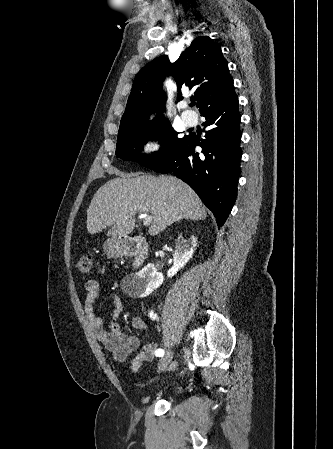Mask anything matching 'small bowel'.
Masks as SVG:
<instances>
[{
    "mask_svg": "<svg viewBox=\"0 0 333 449\" xmlns=\"http://www.w3.org/2000/svg\"><path fill=\"white\" fill-rule=\"evenodd\" d=\"M84 289L86 293L84 312L95 337L109 351L114 363H125L127 357L139 348L140 340L136 335L124 333L117 322V318L123 310L121 298L116 294H110L112 311L110 313V322L106 326L103 318L95 313V301L100 291L99 283L95 280H88L84 285ZM133 326L140 331L146 329V324L140 317L133 319ZM155 350V343L143 345L131 361V370L134 372L138 371L145 361L154 356Z\"/></svg>",
    "mask_w": 333,
    "mask_h": 449,
    "instance_id": "small-bowel-1",
    "label": "small bowel"
}]
</instances>
